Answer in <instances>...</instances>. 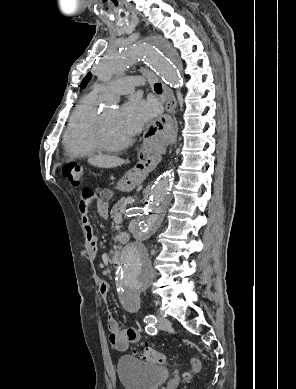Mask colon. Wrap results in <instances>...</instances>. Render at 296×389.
I'll list each match as a JSON object with an SVG mask.
<instances>
[{"label": "colon", "mask_w": 296, "mask_h": 389, "mask_svg": "<svg viewBox=\"0 0 296 389\" xmlns=\"http://www.w3.org/2000/svg\"><path fill=\"white\" fill-rule=\"evenodd\" d=\"M84 174L85 168L81 164L70 163L63 167V175L68 181V183L73 187H79L81 185L84 178ZM87 196H90V193L87 194ZM137 355L141 360L150 363L162 364L167 361V357L164 353L157 351L151 347H145L143 350L139 351ZM190 364L192 367L191 372L184 373V379L186 381H189L192 378V375L197 374L201 369V363L195 357H192L190 359Z\"/></svg>", "instance_id": "colon-1"}]
</instances>
